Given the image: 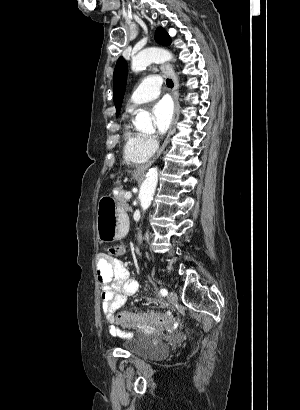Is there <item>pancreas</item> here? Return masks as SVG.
Wrapping results in <instances>:
<instances>
[{
	"mask_svg": "<svg viewBox=\"0 0 300 410\" xmlns=\"http://www.w3.org/2000/svg\"><path fill=\"white\" fill-rule=\"evenodd\" d=\"M115 199L120 204V206L125 210H131V207L128 204V200L125 198V191L120 190L118 195H115Z\"/></svg>",
	"mask_w": 300,
	"mask_h": 410,
	"instance_id": "cf45deb5",
	"label": "pancreas"
}]
</instances>
